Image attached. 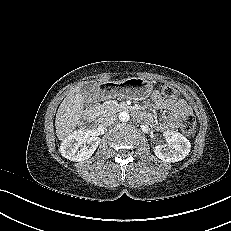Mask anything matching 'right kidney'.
<instances>
[{
    "label": "right kidney",
    "mask_w": 231,
    "mask_h": 231,
    "mask_svg": "<svg viewBox=\"0 0 231 231\" xmlns=\"http://www.w3.org/2000/svg\"><path fill=\"white\" fill-rule=\"evenodd\" d=\"M101 139L90 133L78 129L66 137L60 146L63 157L80 162L89 159L100 144Z\"/></svg>",
    "instance_id": "1"
}]
</instances>
